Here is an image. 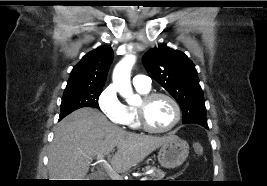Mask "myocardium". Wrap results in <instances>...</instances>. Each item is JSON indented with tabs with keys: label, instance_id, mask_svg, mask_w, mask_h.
Returning a JSON list of instances; mask_svg holds the SVG:
<instances>
[{
	"label": "myocardium",
	"instance_id": "myocardium-1",
	"mask_svg": "<svg viewBox=\"0 0 267 186\" xmlns=\"http://www.w3.org/2000/svg\"><path fill=\"white\" fill-rule=\"evenodd\" d=\"M165 98L167 99L173 106L174 109V120L173 122L161 129L153 128L149 125L147 121V108L148 105L156 98ZM137 108V116L140 128L143 130L150 132V133H166L173 130L181 120V109L178 102L169 94L164 92H148L143 95L140 104L136 107Z\"/></svg>",
	"mask_w": 267,
	"mask_h": 186
}]
</instances>
